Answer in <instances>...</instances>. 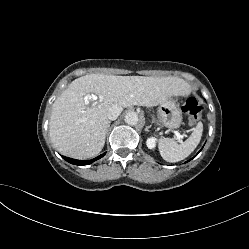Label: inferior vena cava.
Here are the masks:
<instances>
[{"mask_svg":"<svg viewBox=\"0 0 249 249\" xmlns=\"http://www.w3.org/2000/svg\"><path fill=\"white\" fill-rule=\"evenodd\" d=\"M123 108L121 106H112L108 109L107 111V117L109 120H116L117 117L120 115L122 112Z\"/></svg>","mask_w":249,"mask_h":249,"instance_id":"602c4592","label":"inferior vena cava"}]
</instances>
